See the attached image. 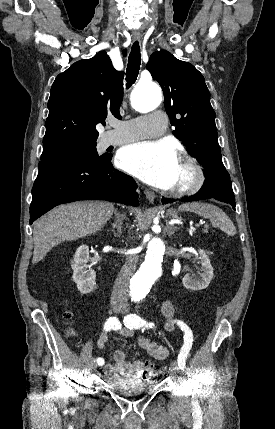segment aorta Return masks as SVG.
<instances>
[{"label":"aorta","mask_w":275,"mask_h":429,"mask_svg":"<svg viewBox=\"0 0 275 429\" xmlns=\"http://www.w3.org/2000/svg\"><path fill=\"white\" fill-rule=\"evenodd\" d=\"M161 99V90L153 82L138 84L131 97L132 106L141 113L156 109ZM164 252L163 240L159 237H151L147 245L145 261L131 280V292L134 299L138 300L144 297L155 280L161 275Z\"/></svg>","instance_id":"762f6f07"}]
</instances>
